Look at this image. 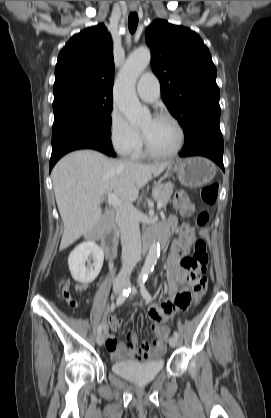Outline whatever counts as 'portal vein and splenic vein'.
I'll return each mask as SVG.
<instances>
[{
    "label": "portal vein and splenic vein",
    "mask_w": 271,
    "mask_h": 418,
    "mask_svg": "<svg viewBox=\"0 0 271 418\" xmlns=\"http://www.w3.org/2000/svg\"><path fill=\"white\" fill-rule=\"evenodd\" d=\"M107 202H108V204H109V205H112V206H114V207H118V206H120V205L122 204V201H121V200H119V199L115 196V194H113V193H109V194H108V199H107ZM157 208H158V209H161V208H162V203H161L160 201H158V202H157Z\"/></svg>",
    "instance_id": "obj_1"
}]
</instances>
